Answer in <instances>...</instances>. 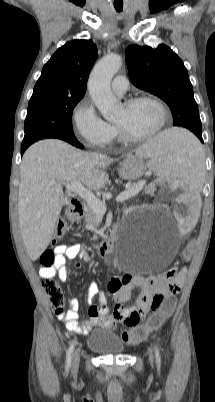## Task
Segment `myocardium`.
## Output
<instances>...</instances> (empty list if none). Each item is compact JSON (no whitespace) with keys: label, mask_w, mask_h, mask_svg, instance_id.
<instances>
[{"label":"myocardium","mask_w":215,"mask_h":402,"mask_svg":"<svg viewBox=\"0 0 215 402\" xmlns=\"http://www.w3.org/2000/svg\"><path fill=\"white\" fill-rule=\"evenodd\" d=\"M142 101L152 102L159 108L160 113H161L160 123L155 130H153L151 133L143 135V136H134V135L130 134L121 124L116 123V127L120 134V137L126 142L141 143V142L151 140V139L155 138L158 134H160L164 130V128L167 124V120H168L167 107L165 106V104L163 103L162 100H160L159 98H157L153 95L135 96V97L125 100L123 105H125L126 107H130V106H132L138 102H142Z\"/></svg>","instance_id":"myocardium-1"}]
</instances>
